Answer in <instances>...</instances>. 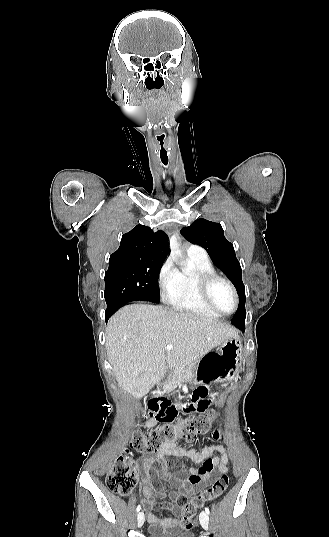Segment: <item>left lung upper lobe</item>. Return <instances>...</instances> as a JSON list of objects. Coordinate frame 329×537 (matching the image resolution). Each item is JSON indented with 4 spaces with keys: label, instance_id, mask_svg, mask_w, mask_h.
Listing matches in <instances>:
<instances>
[{
    "label": "left lung upper lobe",
    "instance_id": "5c2ea615",
    "mask_svg": "<svg viewBox=\"0 0 329 537\" xmlns=\"http://www.w3.org/2000/svg\"><path fill=\"white\" fill-rule=\"evenodd\" d=\"M181 232L189 242L203 247L235 286L239 295V305L231 322L241 330V327L245 326L246 318L245 286L233 245L226 240L221 225L206 219H197L189 227H184Z\"/></svg>",
    "mask_w": 329,
    "mask_h": 537
}]
</instances>
